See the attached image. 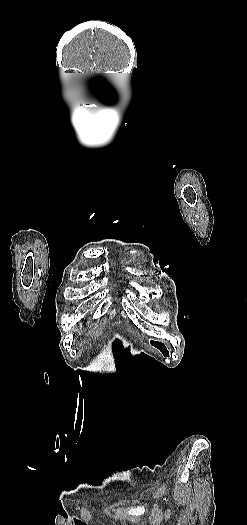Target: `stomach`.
<instances>
[{"mask_svg": "<svg viewBox=\"0 0 247 525\" xmlns=\"http://www.w3.org/2000/svg\"><path fill=\"white\" fill-rule=\"evenodd\" d=\"M149 341H150L149 344L154 349H156L160 354H162L165 357L169 356V350L167 349L164 343L159 342V341H154V340H149Z\"/></svg>", "mask_w": 247, "mask_h": 525, "instance_id": "1", "label": "stomach"}]
</instances>
